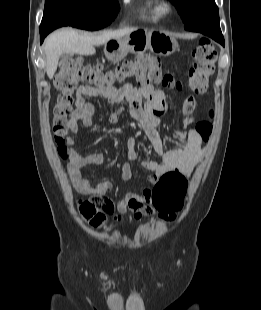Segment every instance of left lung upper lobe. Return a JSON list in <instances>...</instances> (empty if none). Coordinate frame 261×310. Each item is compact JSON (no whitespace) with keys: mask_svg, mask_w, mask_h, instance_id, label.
<instances>
[{"mask_svg":"<svg viewBox=\"0 0 261 310\" xmlns=\"http://www.w3.org/2000/svg\"><path fill=\"white\" fill-rule=\"evenodd\" d=\"M181 15L185 28L191 24L211 20L219 24L215 0H170Z\"/></svg>","mask_w":261,"mask_h":310,"instance_id":"5c2ea615","label":"left lung upper lobe"}]
</instances>
